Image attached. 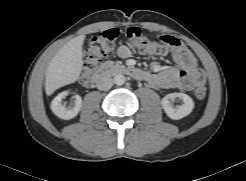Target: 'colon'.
Returning a JSON list of instances; mask_svg holds the SVG:
<instances>
[{
	"mask_svg": "<svg viewBox=\"0 0 246 181\" xmlns=\"http://www.w3.org/2000/svg\"><path fill=\"white\" fill-rule=\"evenodd\" d=\"M118 35L119 31L117 29H109L97 33L90 40L85 52L82 81H86L103 58L114 49ZM125 36L137 52L147 55L163 54L168 47L177 49L180 44L179 40L170 36L153 40L138 27L127 28ZM194 95L197 99L202 100L207 95V89L204 86H199L195 89Z\"/></svg>",
	"mask_w": 246,
	"mask_h": 181,
	"instance_id": "obj_1",
	"label": "colon"
}]
</instances>
